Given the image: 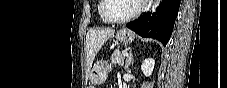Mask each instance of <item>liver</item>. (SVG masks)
Here are the masks:
<instances>
[{
  "label": "liver",
  "instance_id": "obj_1",
  "mask_svg": "<svg viewBox=\"0 0 227 88\" xmlns=\"http://www.w3.org/2000/svg\"><path fill=\"white\" fill-rule=\"evenodd\" d=\"M113 29H90L86 35L87 66L91 67L96 54L104 43L114 35Z\"/></svg>",
  "mask_w": 227,
  "mask_h": 88
}]
</instances>
